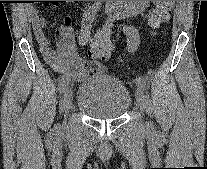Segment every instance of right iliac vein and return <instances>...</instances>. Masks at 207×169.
<instances>
[{
	"label": "right iliac vein",
	"mask_w": 207,
	"mask_h": 169,
	"mask_svg": "<svg viewBox=\"0 0 207 169\" xmlns=\"http://www.w3.org/2000/svg\"><path fill=\"white\" fill-rule=\"evenodd\" d=\"M63 99H64L65 112H68L72 106V99H73V92H72V88L70 86H67L65 88Z\"/></svg>",
	"instance_id": "63e3f726"
}]
</instances>
